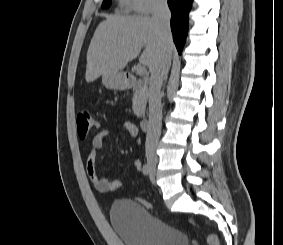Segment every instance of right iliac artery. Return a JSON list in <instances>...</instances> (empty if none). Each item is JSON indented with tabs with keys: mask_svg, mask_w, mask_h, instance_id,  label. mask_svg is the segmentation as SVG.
<instances>
[{
	"mask_svg": "<svg viewBox=\"0 0 283 245\" xmlns=\"http://www.w3.org/2000/svg\"><path fill=\"white\" fill-rule=\"evenodd\" d=\"M142 171H143V174L147 176V175H149V174H150L151 169H150V167H149V165H148V164H144V165H143V170H142Z\"/></svg>",
	"mask_w": 283,
	"mask_h": 245,
	"instance_id": "obj_1",
	"label": "right iliac artery"
}]
</instances>
